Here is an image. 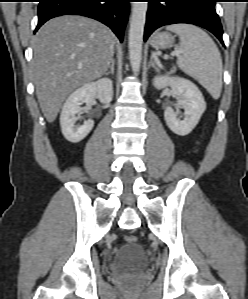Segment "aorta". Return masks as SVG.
Here are the masks:
<instances>
[{"label":"aorta","mask_w":248,"mask_h":299,"mask_svg":"<svg viewBox=\"0 0 248 299\" xmlns=\"http://www.w3.org/2000/svg\"><path fill=\"white\" fill-rule=\"evenodd\" d=\"M147 2H133L129 29V59L133 73H138L142 60V43L146 21Z\"/></svg>","instance_id":"1"}]
</instances>
